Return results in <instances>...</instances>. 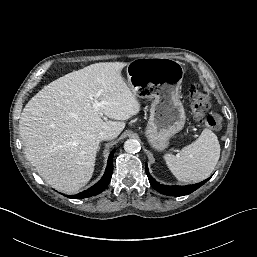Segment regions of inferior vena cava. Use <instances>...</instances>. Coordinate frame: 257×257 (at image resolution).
I'll return each mask as SVG.
<instances>
[{
	"instance_id": "1",
	"label": "inferior vena cava",
	"mask_w": 257,
	"mask_h": 257,
	"mask_svg": "<svg viewBox=\"0 0 257 257\" xmlns=\"http://www.w3.org/2000/svg\"><path fill=\"white\" fill-rule=\"evenodd\" d=\"M116 137V134L114 132H108V131H102L98 135V139L100 141L103 140H112Z\"/></svg>"
}]
</instances>
